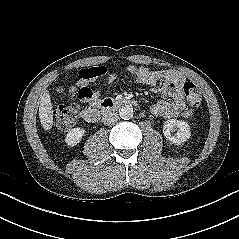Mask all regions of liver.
I'll list each match as a JSON object with an SVG mask.
<instances>
[{
	"mask_svg": "<svg viewBox=\"0 0 239 239\" xmlns=\"http://www.w3.org/2000/svg\"><path fill=\"white\" fill-rule=\"evenodd\" d=\"M53 106L51 103V97L49 92L44 91L41 96L40 106H39V118L41 125L44 130H51L53 125Z\"/></svg>",
	"mask_w": 239,
	"mask_h": 239,
	"instance_id": "liver-1",
	"label": "liver"
}]
</instances>
